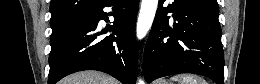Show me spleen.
I'll use <instances>...</instances> for the list:
<instances>
[{
  "label": "spleen",
  "instance_id": "spleen-1",
  "mask_svg": "<svg viewBox=\"0 0 260 84\" xmlns=\"http://www.w3.org/2000/svg\"><path fill=\"white\" fill-rule=\"evenodd\" d=\"M173 81H178L180 84H207L200 76L194 74H181L172 77Z\"/></svg>",
  "mask_w": 260,
  "mask_h": 84
}]
</instances>
